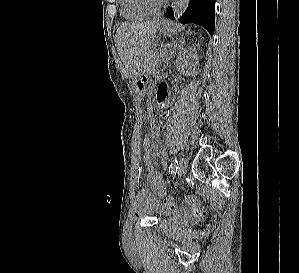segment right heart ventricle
<instances>
[{"mask_svg": "<svg viewBox=\"0 0 299 273\" xmlns=\"http://www.w3.org/2000/svg\"><path fill=\"white\" fill-rule=\"evenodd\" d=\"M121 16L129 21H139L149 16V12L142 9L136 0H121Z\"/></svg>", "mask_w": 299, "mask_h": 273, "instance_id": "e07e8e85", "label": "right heart ventricle"}]
</instances>
